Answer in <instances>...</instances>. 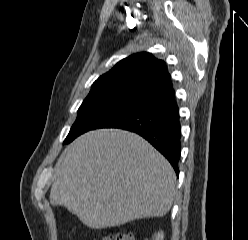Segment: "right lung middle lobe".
<instances>
[{"instance_id":"right-lung-middle-lobe-1","label":"right lung middle lobe","mask_w":248,"mask_h":240,"mask_svg":"<svg viewBox=\"0 0 248 240\" xmlns=\"http://www.w3.org/2000/svg\"><path fill=\"white\" fill-rule=\"evenodd\" d=\"M138 101L136 98L108 90L90 91L78 109V116L64 144L90 130L104 117Z\"/></svg>"}]
</instances>
